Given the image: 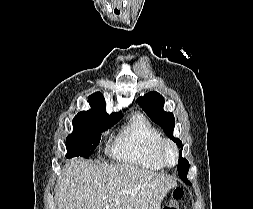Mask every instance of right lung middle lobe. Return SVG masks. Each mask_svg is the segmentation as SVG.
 Segmentation results:
<instances>
[{"mask_svg": "<svg viewBox=\"0 0 253 209\" xmlns=\"http://www.w3.org/2000/svg\"><path fill=\"white\" fill-rule=\"evenodd\" d=\"M119 119L89 116L73 120V132L66 138V157L89 158L100 142L101 132L112 127Z\"/></svg>", "mask_w": 253, "mask_h": 209, "instance_id": "dd1d6c3e", "label": "right lung middle lobe"}]
</instances>
